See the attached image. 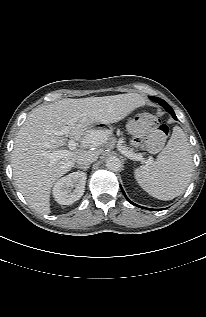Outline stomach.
Instances as JSON below:
<instances>
[{"mask_svg":"<svg viewBox=\"0 0 206 317\" xmlns=\"http://www.w3.org/2000/svg\"><path fill=\"white\" fill-rule=\"evenodd\" d=\"M130 135L127 138V143L134 148H144L146 145L144 139L149 134V129L146 125L141 124L137 115H135L126 126ZM114 130L110 124L103 122H94L88 126L81 136L82 144L85 147L93 148L99 143H106L113 138Z\"/></svg>","mask_w":206,"mask_h":317,"instance_id":"stomach-1","label":"stomach"}]
</instances>
